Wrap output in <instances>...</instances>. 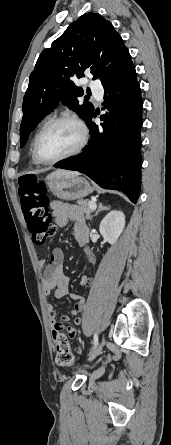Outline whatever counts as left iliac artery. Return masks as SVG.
Wrapping results in <instances>:
<instances>
[{
  "label": "left iliac artery",
  "mask_w": 171,
  "mask_h": 445,
  "mask_svg": "<svg viewBox=\"0 0 171 445\" xmlns=\"http://www.w3.org/2000/svg\"><path fill=\"white\" fill-rule=\"evenodd\" d=\"M93 344H94V347H93V350H94L98 345V334L97 333L94 334Z\"/></svg>",
  "instance_id": "obj_1"
}]
</instances>
